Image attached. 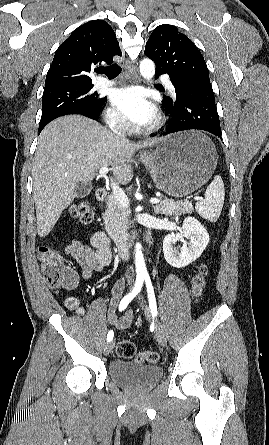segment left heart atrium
<instances>
[{
	"label": "left heart atrium",
	"mask_w": 269,
	"mask_h": 445,
	"mask_svg": "<svg viewBox=\"0 0 269 445\" xmlns=\"http://www.w3.org/2000/svg\"><path fill=\"white\" fill-rule=\"evenodd\" d=\"M112 102L133 125L145 127L155 118V109L143 93L134 87L120 88L112 94Z\"/></svg>",
	"instance_id": "39dd6f15"
}]
</instances>
